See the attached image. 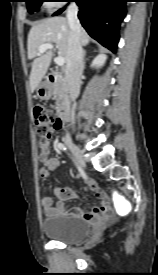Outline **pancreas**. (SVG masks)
<instances>
[{"label": "pancreas", "instance_id": "1", "mask_svg": "<svg viewBox=\"0 0 158 275\" xmlns=\"http://www.w3.org/2000/svg\"><path fill=\"white\" fill-rule=\"evenodd\" d=\"M55 76H56V79L52 85V94L56 98L57 104L60 105L62 102H64L67 99L68 90L66 86V80L62 76V74L56 73Z\"/></svg>", "mask_w": 158, "mask_h": 275}]
</instances>
